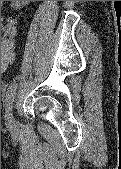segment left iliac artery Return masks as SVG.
Masks as SVG:
<instances>
[{"mask_svg": "<svg viewBox=\"0 0 121 169\" xmlns=\"http://www.w3.org/2000/svg\"><path fill=\"white\" fill-rule=\"evenodd\" d=\"M17 88H18V83L13 82V83L10 84V86L7 89V93H6L7 110L12 109V105H13V102H14V98L16 96Z\"/></svg>", "mask_w": 121, "mask_h": 169, "instance_id": "44dca946", "label": "left iliac artery"}]
</instances>
